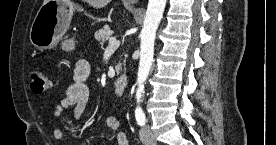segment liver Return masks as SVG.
<instances>
[{"mask_svg":"<svg viewBox=\"0 0 276 145\" xmlns=\"http://www.w3.org/2000/svg\"><path fill=\"white\" fill-rule=\"evenodd\" d=\"M46 1L47 0H44L43 3H46ZM83 1L96 9H101L110 3V0H83Z\"/></svg>","mask_w":276,"mask_h":145,"instance_id":"1","label":"liver"}]
</instances>
